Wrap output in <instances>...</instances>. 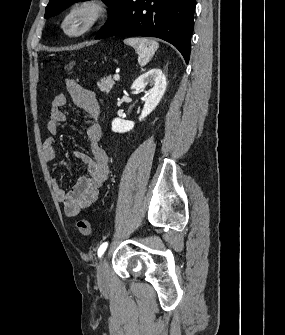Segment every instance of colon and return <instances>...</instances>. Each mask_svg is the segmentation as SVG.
I'll return each instance as SVG.
<instances>
[{
	"instance_id": "obj_1",
	"label": "colon",
	"mask_w": 285,
	"mask_h": 335,
	"mask_svg": "<svg viewBox=\"0 0 285 335\" xmlns=\"http://www.w3.org/2000/svg\"><path fill=\"white\" fill-rule=\"evenodd\" d=\"M74 68L73 62H67L64 64V69L67 72H71ZM77 229L82 235H89L91 233V225L88 220L81 219L77 222Z\"/></svg>"
}]
</instances>
